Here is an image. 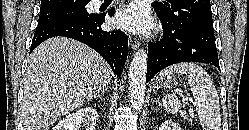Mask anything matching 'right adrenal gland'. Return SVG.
Segmentation results:
<instances>
[{"instance_id":"1","label":"right adrenal gland","mask_w":249,"mask_h":130,"mask_svg":"<svg viewBox=\"0 0 249 130\" xmlns=\"http://www.w3.org/2000/svg\"><path fill=\"white\" fill-rule=\"evenodd\" d=\"M107 91V89H105V90H103L102 92H101V94L100 95H98V96H96L94 99L96 100V99H99L100 101H103V96H104V93Z\"/></svg>"}]
</instances>
